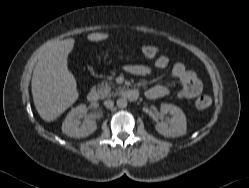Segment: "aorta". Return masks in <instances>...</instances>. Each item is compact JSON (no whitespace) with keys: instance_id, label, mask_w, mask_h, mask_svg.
Returning a JSON list of instances; mask_svg holds the SVG:
<instances>
[{"instance_id":"762f6f07","label":"aorta","mask_w":249,"mask_h":188,"mask_svg":"<svg viewBox=\"0 0 249 188\" xmlns=\"http://www.w3.org/2000/svg\"><path fill=\"white\" fill-rule=\"evenodd\" d=\"M117 106L119 108H125V107H127V100L125 98H119L117 100Z\"/></svg>"}]
</instances>
